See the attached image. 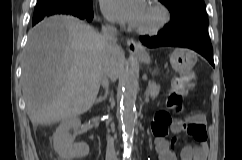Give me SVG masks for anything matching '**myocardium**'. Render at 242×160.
Segmentation results:
<instances>
[{
  "label": "myocardium",
  "instance_id": "obj_1",
  "mask_svg": "<svg viewBox=\"0 0 242 160\" xmlns=\"http://www.w3.org/2000/svg\"><path fill=\"white\" fill-rule=\"evenodd\" d=\"M148 3L159 14L157 22L150 26H135L134 29L142 35L153 36L159 34L169 24L171 13L167 6L159 0H149Z\"/></svg>",
  "mask_w": 242,
  "mask_h": 160
}]
</instances>
